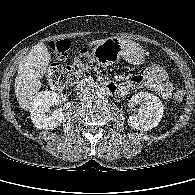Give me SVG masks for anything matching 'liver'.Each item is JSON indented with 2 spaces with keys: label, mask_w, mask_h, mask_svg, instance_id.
I'll return each instance as SVG.
<instances>
[{
  "label": "liver",
  "mask_w": 195,
  "mask_h": 195,
  "mask_svg": "<svg viewBox=\"0 0 195 195\" xmlns=\"http://www.w3.org/2000/svg\"><path fill=\"white\" fill-rule=\"evenodd\" d=\"M104 39L92 41L89 46L98 45ZM51 55L44 43L35 45L19 63L15 78V94L20 107L31 111L41 88V79L48 70Z\"/></svg>",
  "instance_id": "obj_1"
}]
</instances>
